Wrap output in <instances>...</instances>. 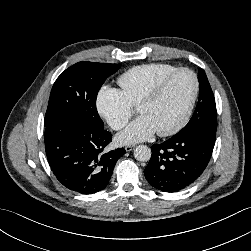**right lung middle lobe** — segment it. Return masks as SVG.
<instances>
[{
  "label": "right lung middle lobe",
  "instance_id": "dd1d6c3e",
  "mask_svg": "<svg viewBox=\"0 0 251 251\" xmlns=\"http://www.w3.org/2000/svg\"><path fill=\"white\" fill-rule=\"evenodd\" d=\"M120 67L119 64L82 61L66 69L53 85L45 126L65 119H79L103 129L96 109L97 94L106 78Z\"/></svg>",
  "mask_w": 251,
  "mask_h": 251
}]
</instances>
